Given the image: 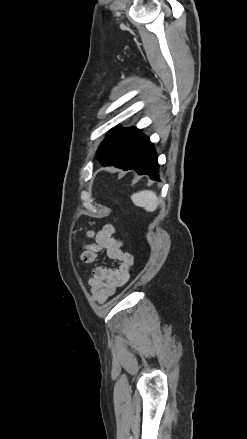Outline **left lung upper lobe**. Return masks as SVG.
<instances>
[{
  "label": "left lung upper lobe",
  "instance_id": "left-lung-upper-lobe-1",
  "mask_svg": "<svg viewBox=\"0 0 247 439\" xmlns=\"http://www.w3.org/2000/svg\"><path fill=\"white\" fill-rule=\"evenodd\" d=\"M140 132L141 130L135 127L120 130L113 128L99 146L97 159L104 166L114 165L122 168Z\"/></svg>",
  "mask_w": 247,
  "mask_h": 439
}]
</instances>
